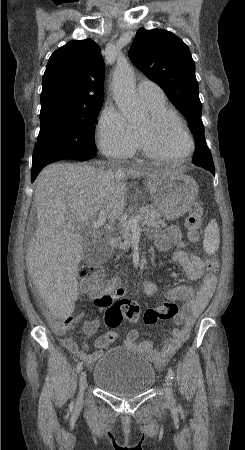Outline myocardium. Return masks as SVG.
Wrapping results in <instances>:
<instances>
[{
	"label": "myocardium",
	"mask_w": 245,
	"mask_h": 450,
	"mask_svg": "<svg viewBox=\"0 0 245 450\" xmlns=\"http://www.w3.org/2000/svg\"><path fill=\"white\" fill-rule=\"evenodd\" d=\"M149 117H150V123L154 127L160 126L166 120H172L173 122L178 124L181 127V129L184 131V133L186 134V136L190 142V149L187 153H185L183 155H178V156L165 155V154L161 153L160 151H158L156 148H154L152 146V144L150 143V141L148 140V138L140 130H138V139H139L142 151L146 157H148L149 159H152V160H157V161L185 160V159L190 158L194 154L195 149H196L195 140H194L189 128L187 127V125L175 113H173L170 110H160V111L151 112Z\"/></svg>",
	"instance_id": "obj_1"
}]
</instances>
